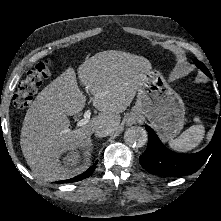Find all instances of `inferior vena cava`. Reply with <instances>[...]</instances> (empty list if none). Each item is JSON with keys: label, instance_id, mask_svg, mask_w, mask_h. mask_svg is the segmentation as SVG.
<instances>
[{"label": "inferior vena cava", "instance_id": "obj_1", "mask_svg": "<svg viewBox=\"0 0 221 221\" xmlns=\"http://www.w3.org/2000/svg\"><path fill=\"white\" fill-rule=\"evenodd\" d=\"M112 132L113 129L109 127H98L94 131L96 137H106L112 134Z\"/></svg>", "mask_w": 221, "mask_h": 221}]
</instances>
